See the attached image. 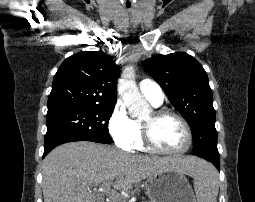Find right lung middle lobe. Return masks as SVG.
Returning a JSON list of instances; mask_svg holds the SVG:
<instances>
[{
  "instance_id": "dd1d6c3e",
  "label": "right lung middle lobe",
  "mask_w": 255,
  "mask_h": 202,
  "mask_svg": "<svg viewBox=\"0 0 255 202\" xmlns=\"http://www.w3.org/2000/svg\"><path fill=\"white\" fill-rule=\"evenodd\" d=\"M115 105H85L47 114L45 142L59 137L110 144L108 122Z\"/></svg>"
}]
</instances>
